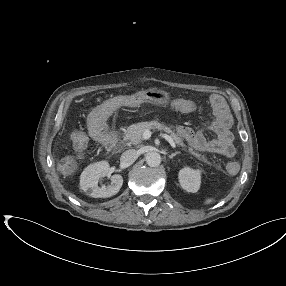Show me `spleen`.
Wrapping results in <instances>:
<instances>
[{
  "label": "spleen",
  "instance_id": "spleen-1",
  "mask_svg": "<svg viewBox=\"0 0 286 286\" xmlns=\"http://www.w3.org/2000/svg\"><path fill=\"white\" fill-rule=\"evenodd\" d=\"M213 201H214V198H207V199L204 201V204H211Z\"/></svg>",
  "mask_w": 286,
  "mask_h": 286
}]
</instances>
